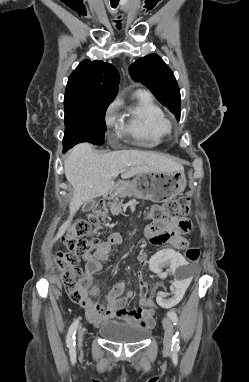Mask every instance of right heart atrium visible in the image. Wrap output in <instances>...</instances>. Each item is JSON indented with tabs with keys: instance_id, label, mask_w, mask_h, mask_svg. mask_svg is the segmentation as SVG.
I'll use <instances>...</instances> for the list:
<instances>
[{
	"instance_id": "obj_1",
	"label": "right heart atrium",
	"mask_w": 249,
	"mask_h": 382,
	"mask_svg": "<svg viewBox=\"0 0 249 382\" xmlns=\"http://www.w3.org/2000/svg\"><path fill=\"white\" fill-rule=\"evenodd\" d=\"M116 109L117 104L112 103L106 110L104 115V121L107 126H113L116 123Z\"/></svg>"
}]
</instances>
